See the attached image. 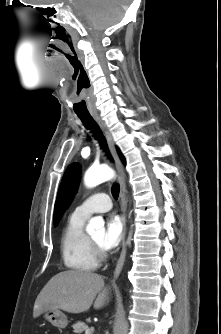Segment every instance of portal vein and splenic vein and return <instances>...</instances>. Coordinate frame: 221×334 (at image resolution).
<instances>
[{"label":"portal vein and splenic vein","mask_w":221,"mask_h":334,"mask_svg":"<svg viewBox=\"0 0 221 334\" xmlns=\"http://www.w3.org/2000/svg\"><path fill=\"white\" fill-rule=\"evenodd\" d=\"M94 331V327H91L90 329H87L85 331V334H91Z\"/></svg>","instance_id":"portal-vein-and-splenic-vein-1"}]
</instances>
